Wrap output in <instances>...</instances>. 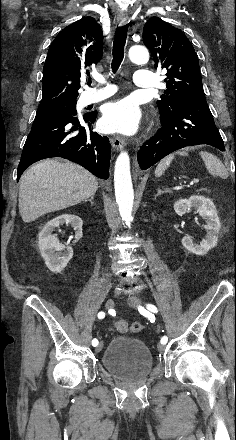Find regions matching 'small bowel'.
Returning a JSON list of instances; mask_svg holds the SVG:
<instances>
[{
    "instance_id": "c3829d8e",
    "label": "small bowel",
    "mask_w": 236,
    "mask_h": 440,
    "mask_svg": "<svg viewBox=\"0 0 236 440\" xmlns=\"http://www.w3.org/2000/svg\"><path fill=\"white\" fill-rule=\"evenodd\" d=\"M116 326H117L119 329H124V328H125V323H124V322H117Z\"/></svg>"
}]
</instances>
